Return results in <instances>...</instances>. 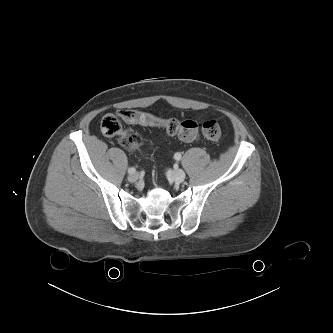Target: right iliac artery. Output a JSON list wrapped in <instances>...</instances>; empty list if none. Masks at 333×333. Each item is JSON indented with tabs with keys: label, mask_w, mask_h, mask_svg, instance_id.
Instances as JSON below:
<instances>
[{
	"label": "right iliac artery",
	"mask_w": 333,
	"mask_h": 333,
	"mask_svg": "<svg viewBox=\"0 0 333 333\" xmlns=\"http://www.w3.org/2000/svg\"><path fill=\"white\" fill-rule=\"evenodd\" d=\"M135 172H136V169H135V168H133V167L128 168V173H129V174H133V173H135Z\"/></svg>",
	"instance_id": "1"
}]
</instances>
